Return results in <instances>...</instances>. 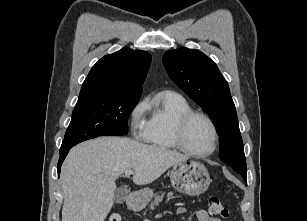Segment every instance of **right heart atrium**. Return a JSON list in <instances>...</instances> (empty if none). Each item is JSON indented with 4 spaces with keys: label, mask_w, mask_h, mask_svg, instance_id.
<instances>
[{
    "label": "right heart atrium",
    "mask_w": 307,
    "mask_h": 221,
    "mask_svg": "<svg viewBox=\"0 0 307 221\" xmlns=\"http://www.w3.org/2000/svg\"><path fill=\"white\" fill-rule=\"evenodd\" d=\"M147 110V102H138L131 110L129 115L130 127L133 135L137 139H145L147 121L145 119V112Z\"/></svg>",
    "instance_id": "obj_1"
}]
</instances>
